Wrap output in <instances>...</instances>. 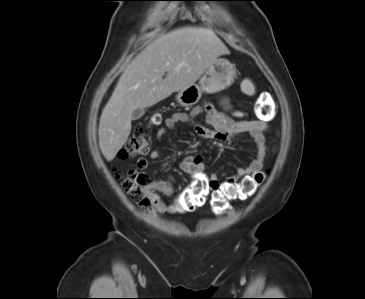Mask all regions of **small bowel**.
<instances>
[{
  "label": "small bowel",
  "mask_w": 365,
  "mask_h": 299,
  "mask_svg": "<svg viewBox=\"0 0 365 299\" xmlns=\"http://www.w3.org/2000/svg\"><path fill=\"white\" fill-rule=\"evenodd\" d=\"M222 105L225 109L231 107L228 99L222 100ZM204 114L205 123L195 121V118ZM178 123H189L193 125L196 134L204 139H212L234 145L235 136L247 133L254 142L255 155L252 161L245 167L236 169L235 173L228 177L225 183L236 182L240 178L258 173L261 171L265 158L267 156V144L264 137V132L267 129V121L264 119L250 120H231L223 113L217 111L211 104L206 103L196 106L190 113H174L164 120V123L156 131L157 137L161 138L168 130H172ZM152 160L161 158V153L157 150H152L149 153ZM137 166L140 169H145L148 166V161L145 158H140L137 161ZM179 167L192 174L197 181L214 184L219 183V177L216 174L208 175L205 171L203 158L200 155H190L183 158ZM151 196L153 198L154 211L158 213L175 212V207L166 204L156 192L171 195L173 186L170 179H156L151 182Z\"/></svg>",
  "instance_id": "c3829d8e"
}]
</instances>
